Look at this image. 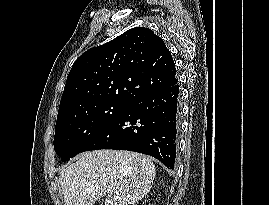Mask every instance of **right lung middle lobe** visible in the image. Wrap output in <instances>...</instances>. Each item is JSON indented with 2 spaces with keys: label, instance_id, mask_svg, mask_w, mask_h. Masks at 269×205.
<instances>
[{
  "label": "right lung middle lobe",
  "instance_id": "dd1d6c3e",
  "mask_svg": "<svg viewBox=\"0 0 269 205\" xmlns=\"http://www.w3.org/2000/svg\"><path fill=\"white\" fill-rule=\"evenodd\" d=\"M128 105L125 102L106 101L57 119L55 152L62 161L73 158Z\"/></svg>",
  "mask_w": 269,
  "mask_h": 205
}]
</instances>
